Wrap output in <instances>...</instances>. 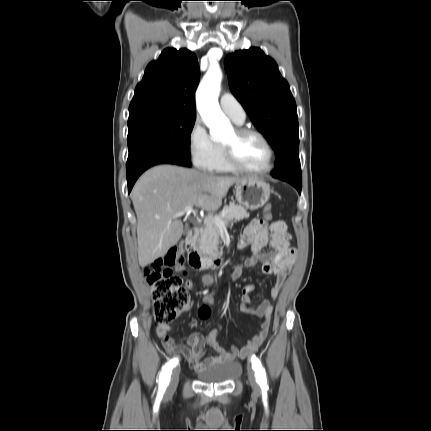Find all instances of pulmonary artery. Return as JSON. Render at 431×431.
Returning a JSON list of instances; mask_svg holds the SVG:
<instances>
[{
    "label": "pulmonary artery",
    "mask_w": 431,
    "mask_h": 431,
    "mask_svg": "<svg viewBox=\"0 0 431 431\" xmlns=\"http://www.w3.org/2000/svg\"><path fill=\"white\" fill-rule=\"evenodd\" d=\"M220 107L235 123L241 124L245 121L246 112L232 94H222L220 97Z\"/></svg>",
    "instance_id": "obj_1"
}]
</instances>
